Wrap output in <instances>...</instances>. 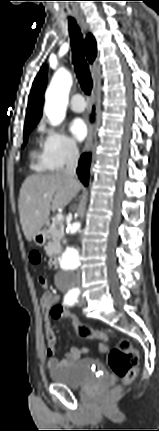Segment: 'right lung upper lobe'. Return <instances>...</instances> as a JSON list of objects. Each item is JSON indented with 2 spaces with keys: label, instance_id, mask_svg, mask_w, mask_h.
<instances>
[{
  "label": "right lung upper lobe",
  "instance_id": "right-lung-upper-lobe-1",
  "mask_svg": "<svg viewBox=\"0 0 159 431\" xmlns=\"http://www.w3.org/2000/svg\"><path fill=\"white\" fill-rule=\"evenodd\" d=\"M86 55L90 63L96 56V42L91 34L86 37ZM47 67L43 65L32 84V89L28 98V108L24 128L35 126L42 115L43 93L46 87Z\"/></svg>",
  "mask_w": 159,
  "mask_h": 431
}]
</instances>
